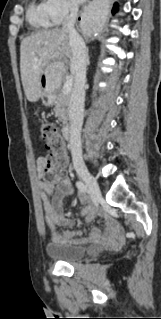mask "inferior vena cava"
I'll list each match as a JSON object with an SVG mask.
<instances>
[{
    "instance_id": "obj_1",
    "label": "inferior vena cava",
    "mask_w": 161,
    "mask_h": 319,
    "mask_svg": "<svg viewBox=\"0 0 161 319\" xmlns=\"http://www.w3.org/2000/svg\"><path fill=\"white\" fill-rule=\"evenodd\" d=\"M70 14L63 23L62 30L66 31L72 51L71 73L74 76V86L69 102L70 117V150L76 170L84 169L82 157L81 129L84 118L85 82L87 66V48L84 40L76 31L74 24L78 14V6L69 5Z\"/></svg>"
}]
</instances>
